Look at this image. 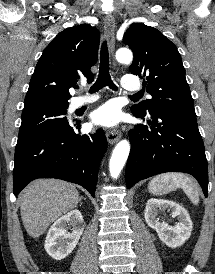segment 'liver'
Here are the masks:
<instances>
[{
  "mask_svg": "<svg viewBox=\"0 0 215 274\" xmlns=\"http://www.w3.org/2000/svg\"><path fill=\"white\" fill-rule=\"evenodd\" d=\"M80 201L77 189L57 179H39L20 194V213L27 233L37 238L56 219L74 209Z\"/></svg>",
  "mask_w": 215,
  "mask_h": 274,
  "instance_id": "6515ba94",
  "label": "liver"
}]
</instances>
